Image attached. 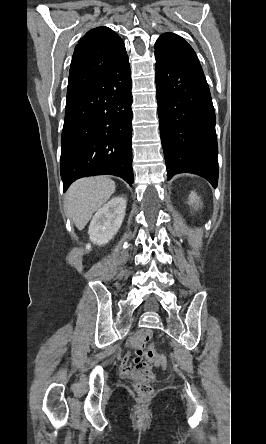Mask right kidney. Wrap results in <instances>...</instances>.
<instances>
[{
    "label": "right kidney",
    "mask_w": 266,
    "mask_h": 444,
    "mask_svg": "<svg viewBox=\"0 0 266 444\" xmlns=\"http://www.w3.org/2000/svg\"><path fill=\"white\" fill-rule=\"evenodd\" d=\"M126 200L123 197L112 198L100 208L89 225V238L97 245L108 243L118 232L124 219Z\"/></svg>",
    "instance_id": "right-kidney-1"
}]
</instances>
